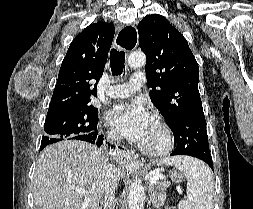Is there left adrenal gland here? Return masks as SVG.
I'll return each instance as SVG.
<instances>
[{
    "label": "left adrenal gland",
    "mask_w": 253,
    "mask_h": 209,
    "mask_svg": "<svg viewBox=\"0 0 253 209\" xmlns=\"http://www.w3.org/2000/svg\"><path fill=\"white\" fill-rule=\"evenodd\" d=\"M148 194V205L152 204L154 208L159 209V207L162 206L164 199L159 197L152 187L149 188Z\"/></svg>",
    "instance_id": "left-adrenal-gland-1"
}]
</instances>
